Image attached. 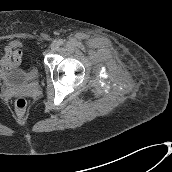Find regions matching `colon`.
<instances>
[{
  "mask_svg": "<svg viewBox=\"0 0 172 172\" xmlns=\"http://www.w3.org/2000/svg\"><path fill=\"white\" fill-rule=\"evenodd\" d=\"M14 106L16 111L23 113L26 110L27 102L23 98H18L16 99Z\"/></svg>",
  "mask_w": 172,
  "mask_h": 172,
  "instance_id": "1",
  "label": "colon"
}]
</instances>
